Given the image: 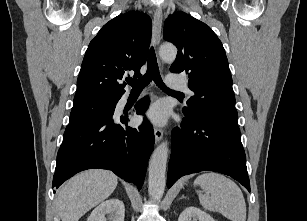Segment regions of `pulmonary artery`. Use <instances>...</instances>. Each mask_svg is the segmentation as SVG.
<instances>
[{"mask_svg": "<svg viewBox=\"0 0 307 221\" xmlns=\"http://www.w3.org/2000/svg\"><path fill=\"white\" fill-rule=\"evenodd\" d=\"M167 84L174 88V89H179V90H185L190 93V91L187 88V85L184 81L180 80L179 77L175 74H169L167 75Z\"/></svg>", "mask_w": 307, "mask_h": 221, "instance_id": "obj_1", "label": "pulmonary artery"}]
</instances>
